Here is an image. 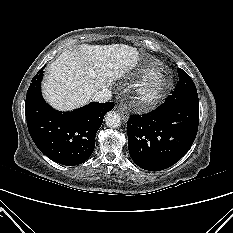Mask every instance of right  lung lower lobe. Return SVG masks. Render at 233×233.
<instances>
[{
    "instance_id": "right-lung-lower-lobe-1",
    "label": "right lung lower lobe",
    "mask_w": 233,
    "mask_h": 233,
    "mask_svg": "<svg viewBox=\"0 0 233 233\" xmlns=\"http://www.w3.org/2000/svg\"><path fill=\"white\" fill-rule=\"evenodd\" d=\"M44 67L33 77L27 91L25 114L31 138L51 160L68 166L85 162L95 147V136L113 102L96 103L72 112L49 106L41 94Z\"/></svg>"
}]
</instances>
